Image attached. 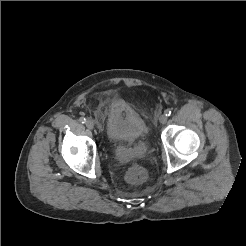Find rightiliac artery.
Masks as SVG:
<instances>
[{"mask_svg":"<svg viewBox=\"0 0 246 246\" xmlns=\"http://www.w3.org/2000/svg\"><path fill=\"white\" fill-rule=\"evenodd\" d=\"M79 121H80L81 123H83V124L86 123V119H85L84 117H80V118H79Z\"/></svg>","mask_w":246,"mask_h":246,"instance_id":"right-iliac-artery-1","label":"right iliac artery"}]
</instances>
